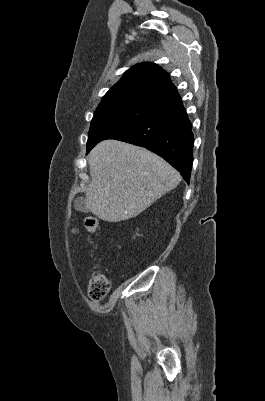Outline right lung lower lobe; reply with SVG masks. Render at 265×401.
Returning <instances> with one entry per match:
<instances>
[{
    "instance_id": "obj_1",
    "label": "right lung lower lobe",
    "mask_w": 265,
    "mask_h": 401,
    "mask_svg": "<svg viewBox=\"0 0 265 401\" xmlns=\"http://www.w3.org/2000/svg\"><path fill=\"white\" fill-rule=\"evenodd\" d=\"M107 139L145 147L158 154L177 169L189 184L194 136L192 124L181 99L115 131Z\"/></svg>"
}]
</instances>
